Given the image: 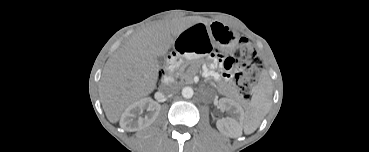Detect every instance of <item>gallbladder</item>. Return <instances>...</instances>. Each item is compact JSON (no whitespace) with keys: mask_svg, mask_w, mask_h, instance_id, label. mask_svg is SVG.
Here are the masks:
<instances>
[{"mask_svg":"<svg viewBox=\"0 0 369 152\" xmlns=\"http://www.w3.org/2000/svg\"><path fill=\"white\" fill-rule=\"evenodd\" d=\"M158 62H159L160 64H162V63H163V58H158Z\"/></svg>","mask_w":369,"mask_h":152,"instance_id":"1","label":"gallbladder"}]
</instances>
